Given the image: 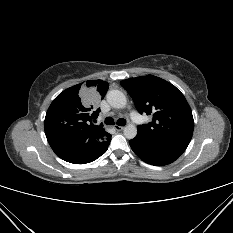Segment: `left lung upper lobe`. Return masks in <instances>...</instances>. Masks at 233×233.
I'll return each instance as SVG.
<instances>
[{
  "label": "left lung upper lobe",
  "instance_id": "5c2ea615",
  "mask_svg": "<svg viewBox=\"0 0 233 233\" xmlns=\"http://www.w3.org/2000/svg\"><path fill=\"white\" fill-rule=\"evenodd\" d=\"M120 84L139 113L153 115L152 122L138 126L137 136L152 145L184 152L194 129L192 111L184 95L171 83L153 75L130 78Z\"/></svg>",
  "mask_w": 233,
  "mask_h": 233
}]
</instances>
